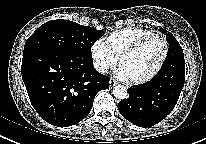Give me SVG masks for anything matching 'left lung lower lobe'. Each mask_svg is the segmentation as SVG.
Returning <instances> with one entry per match:
<instances>
[{
  "mask_svg": "<svg viewBox=\"0 0 206 144\" xmlns=\"http://www.w3.org/2000/svg\"><path fill=\"white\" fill-rule=\"evenodd\" d=\"M184 81L185 66H169L151 81L129 88V98L119 102L118 110L136 126H154L173 110Z\"/></svg>",
  "mask_w": 206,
  "mask_h": 144,
  "instance_id": "left-lung-lower-lobe-1",
  "label": "left lung lower lobe"
}]
</instances>
